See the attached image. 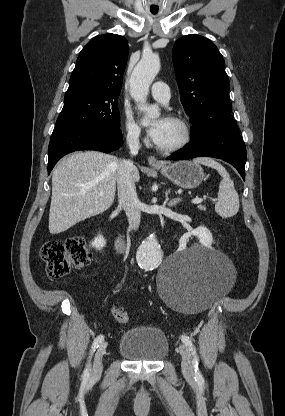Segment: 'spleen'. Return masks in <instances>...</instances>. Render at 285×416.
<instances>
[{
    "instance_id": "3e777b00",
    "label": "spleen",
    "mask_w": 285,
    "mask_h": 416,
    "mask_svg": "<svg viewBox=\"0 0 285 416\" xmlns=\"http://www.w3.org/2000/svg\"><path fill=\"white\" fill-rule=\"evenodd\" d=\"M193 162L217 170L222 180L219 184L218 202L215 204V212L218 216H222V218H232V216H235L239 210V198L234 188V182L230 180L227 170L221 164L215 162L214 158H195Z\"/></svg>"
}]
</instances>
